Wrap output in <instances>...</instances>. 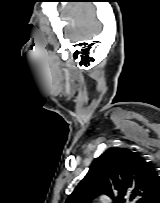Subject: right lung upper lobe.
I'll list each match as a JSON object with an SVG mask.
<instances>
[{
  "label": "right lung upper lobe",
  "mask_w": 160,
  "mask_h": 203,
  "mask_svg": "<svg viewBox=\"0 0 160 203\" xmlns=\"http://www.w3.org/2000/svg\"><path fill=\"white\" fill-rule=\"evenodd\" d=\"M100 194L113 203H150L160 195V175L136 152L111 148L97 158L65 203H90Z\"/></svg>",
  "instance_id": "1"
}]
</instances>
